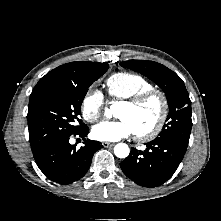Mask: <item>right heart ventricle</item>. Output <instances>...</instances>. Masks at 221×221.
Masks as SVG:
<instances>
[{"label":"right heart ventricle","instance_id":"obj_1","mask_svg":"<svg viewBox=\"0 0 221 221\" xmlns=\"http://www.w3.org/2000/svg\"><path fill=\"white\" fill-rule=\"evenodd\" d=\"M105 86L113 100H125L150 90L153 84L143 76L131 72L114 73L107 78Z\"/></svg>","mask_w":221,"mask_h":221}]
</instances>
